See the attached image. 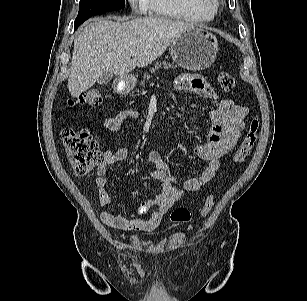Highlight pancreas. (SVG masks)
Here are the masks:
<instances>
[{"label": "pancreas", "mask_w": 307, "mask_h": 301, "mask_svg": "<svg viewBox=\"0 0 307 301\" xmlns=\"http://www.w3.org/2000/svg\"><path fill=\"white\" fill-rule=\"evenodd\" d=\"M163 65H164V68H165V69H168L169 67H171V68H173V69L176 68V66H174L173 64L166 63V62L163 63ZM161 66H162L161 63L156 62L155 65H154V68H151V69H150L151 74L154 73V72H155L156 70H158L159 68H161ZM150 77H151L150 74H145L144 77H143V81H141V85H142V86H145L146 80H149Z\"/></svg>", "instance_id": "cf45deb5"}]
</instances>
